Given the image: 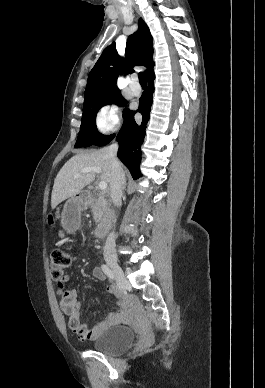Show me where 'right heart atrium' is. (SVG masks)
<instances>
[{
    "label": "right heart atrium",
    "instance_id": "right-heart-atrium-1",
    "mask_svg": "<svg viewBox=\"0 0 265 388\" xmlns=\"http://www.w3.org/2000/svg\"><path fill=\"white\" fill-rule=\"evenodd\" d=\"M116 113V108L106 107L101 110L99 114V124L103 129H106L111 121L114 119Z\"/></svg>",
    "mask_w": 265,
    "mask_h": 388
}]
</instances>
